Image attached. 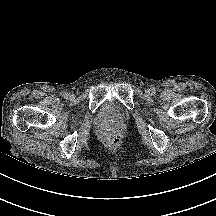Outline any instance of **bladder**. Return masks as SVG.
<instances>
[{"mask_svg": "<svg viewBox=\"0 0 216 216\" xmlns=\"http://www.w3.org/2000/svg\"><path fill=\"white\" fill-rule=\"evenodd\" d=\"M97 119L99 122L105 124L123 123L125 121V114L116 102L107 100L97 113Z\"/></svg>", "mask_w": 216, "mask_h": 216, "instance_id": "obj_1", "label": "bladder"}]
</instances>
